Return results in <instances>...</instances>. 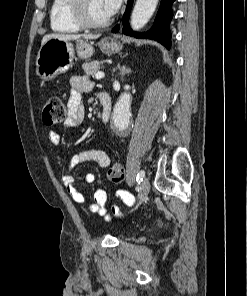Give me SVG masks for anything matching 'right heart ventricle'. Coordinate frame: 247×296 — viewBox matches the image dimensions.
Listing matches in <instances>:
<instances>
[{"instance_id":"e07e8e85","label":"right heart ventricle","mask_w":247,"mask_h":296,"mask_svg":"<svg viewBox=\"0 0 247 296\" xmlns=\"http://www.w3.org/2000/svg\"><path fill=\"white\" fill-rule=\"evenodd\" d=\"M71 0H53L50 9V27L54 32L62 34L76 33L81 28L70 16Z\"/></svg>"}]
</instances>
